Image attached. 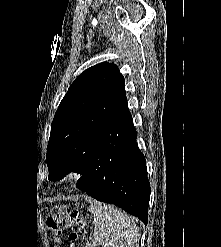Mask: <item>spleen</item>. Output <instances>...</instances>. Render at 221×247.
<instances>
[{
	"label": "spleen",
	"mask_w": 221,
	"mask_h": 247,
	"mask_svg": "<svg viewBox=\"0 0 221 247\" xmlns=\"http://www.w3.org/2000/svg\"><path fill=\"white\" fill-rule=\"evenodd\" d=\"M92 210L95 225L93 246L139 247V229L131 217L101 203Z\"/></svg>",
	"instance_id": "spleen-1"
}]
</instances>
